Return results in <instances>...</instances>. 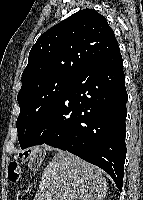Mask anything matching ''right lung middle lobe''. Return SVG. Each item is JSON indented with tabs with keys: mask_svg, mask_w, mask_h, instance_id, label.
<instances>
[{
	"mask_svg": "<svg viewBox=\"0 0 143 200\" xmlns=\"http://www.w3.org/2000/svg\"><path fill=\"white\" fill-rule=\"evenodd\" d=\"M71 80L70 77L55 76L20 89L17 97L20 114L16 127L22 149L26 148L30 136L43 117L61 98Z\"/></svg>",
	"mask_w": 143,
	"mask_h": 200,
	"instance_id": "right-lung-middle-lobe-1",
	"label": "right lung middle lobe"
}]
</instances>
